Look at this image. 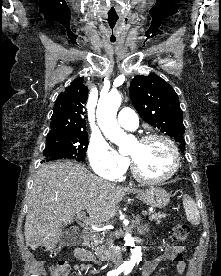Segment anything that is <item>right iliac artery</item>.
Here are the masks:
<instances>
[{"label": "right iliac artery", "instance_id": "82829eb1", "mask_svg": "<svg viewBox=\"0 0 221 276\" xmlns=\"http://www.w3.org/2000/svg\"><path fill=\"white\" fill-rule=\"evenodd\" d=\"M124 267H119L116 270L108 272L107 276H118L122 271H124Z\"/></svg>", "mask_w": 221, "mask_h": 276}]
</instances>
